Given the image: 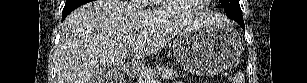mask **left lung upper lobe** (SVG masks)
Listing matches in <instances>:
<instances>
[{"mask_svg": "<svg viewBox=\"0 0 307 83\" xmlns=\"http://www.w3.org/2000/svg\"><path fill=\"white\" fill-rule=\"evenodd\" d=\"M220 2L229 18L235 20L237 23H244L238 0H220Z\"/></svg>", "mask_w": 307, "mask_h": 83, "instance_id": "5c2ea615", "label": "left lung upper lobe"}]
</instances>
